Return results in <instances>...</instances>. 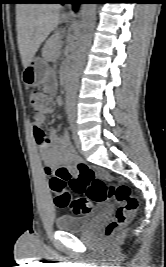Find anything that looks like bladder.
<instances>
[{"label":"bladder","mask_w":166,"mask_h":267,"mask_svg":"<svg viewBox=\"0 0 166 267\" xmlns=\"http://www.w3.org/2000/svg\"><path fill=\"white\" fill-rule=\"evenodd\" d=\"M55 223L56 227L61 231L83 232L88 230L95 223V218L91 215H62L56 219Z\"/></svg>","instance_id":"bladder-1"}]
</instances>
